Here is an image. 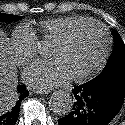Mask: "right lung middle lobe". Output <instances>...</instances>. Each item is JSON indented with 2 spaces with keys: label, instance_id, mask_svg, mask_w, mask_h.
Segmentation results:
<instances>
[{
  "label": "right lung middle lobe",
  "instance_id": "1",
  "mask_svg": "<svg viewBox=\"0 0 125 125\" xmlns=\"http://www.w3.org/2000/svg\"><path fill=\"white\" fill-rule=\"evenodd\" d=\"M20 18L21 16H18V15L0 13V20L5 21V22H12L15 20H19Z\"/></svg>",
  "mask_w": 125,
  "mask_h": 125
}]
</instances>
